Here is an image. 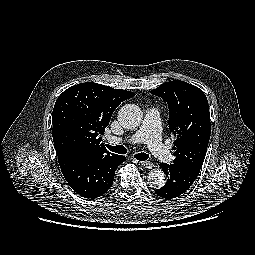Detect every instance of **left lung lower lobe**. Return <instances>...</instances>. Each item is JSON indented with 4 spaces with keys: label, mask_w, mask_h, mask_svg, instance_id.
<instances>
[{
    "label": "left lung lower lobe",
    "mask_w": 255,
    "mask_h": 255,
    "mask_svg": "<svg viewBox=\"0 0 255 255\" xmlns=\"http://www.w3.org/2000/svg\"><path fill=\"white\" fill-rule=\"evenodd\" d=\"M168 180L164 187L155 190V193L165 199H173L185 193L197 178V174L179 164L161 163Z\"/></svg>",
    "instance_id": "0a47b994"
}]
</instances>
